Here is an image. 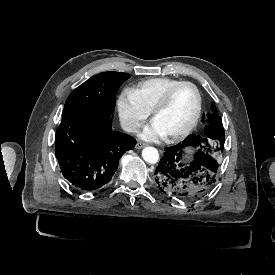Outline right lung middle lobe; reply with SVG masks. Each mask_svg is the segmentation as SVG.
I'll return each mask as SVG.
<instances>
[{
	"instance_id": "dd1d6c3e",
	"label": "right lung middle lobe",
	"mask_w": 275,
	"mask_h": 275,
	"mask_svg": "<svg viewBox=\"0 0 275 275\" xmlns=\"http://www.w3.org/2000/svg\"><path fill=\"white\" fill-rule=\"evenodd\" d=\"M130 77L112 71L92 76L68 96L63 114L83 113L111 121L117 89Z\"/></svg>"
}]
</instances>
